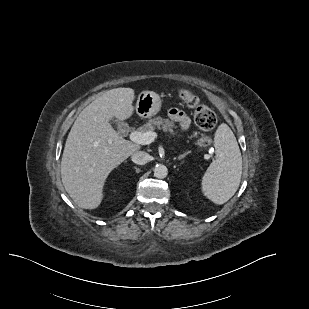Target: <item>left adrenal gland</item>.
Wrapping results in <instances>:
<instances>
[{"mask_svg":"<svg viewBox=\"0 0 309 309\" xmlns=\"http://www.w3.org/2000/svg\"><path fill=\"white\" fill-rule=\"evenodd\" d=\"M189 153H190V151L185 152L184 154L180 155V156L178 157V160L183 159V158H184L186 155H188Z\"/></svg>","mask_w":309,"mask_h":309,"instance_id":"obj_1","label":"left adrenal gland"}]
</instances>
